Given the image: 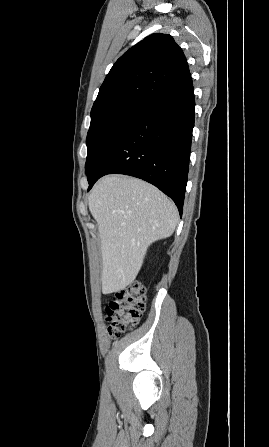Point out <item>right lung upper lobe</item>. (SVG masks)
Returning a JSON list of instances; mask_svg holds the SVG:
<instances>
[{
  "label": "right lung upper lobe",
  "mask_w": 269,
  "mask_h": 447,
  "mask_svg": "<svg viewBox=\"0 0 269 447\" xmlns=\"http://www.w3.org/2000/svg\"><path fill=\"white\" fill-rule=\"evenodd\" d=\"M189 73L181 48L167 34H152L121 56L107 74L91 118L122 106H142Z\"/></svg>",
  "instance_id": "right-lung-upper-lobe-1"
}]
</instances>
